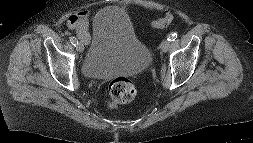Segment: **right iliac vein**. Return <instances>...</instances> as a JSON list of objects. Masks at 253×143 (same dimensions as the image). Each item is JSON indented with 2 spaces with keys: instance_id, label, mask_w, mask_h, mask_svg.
<instances>
[{
  "instance_id": "obj_1",
  "label": "right iliac vein",
  "mask_w": 253,
  "mask_h": 143,
  "mask_svg": "<svg viewBox=\"0 0 253 143\" xmlns=\"http://www.w3.org/2000/svg\"><path fill=\"white\" fill-rule=\"evenodd\" d=\"M76 49H77V51L82 52L84 50L83 43L78 42L77 45H76Z\"/></svg>"
}]
</instances>
